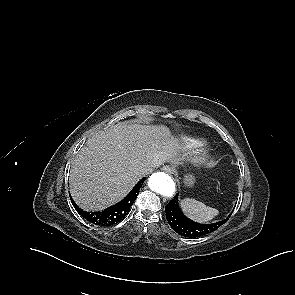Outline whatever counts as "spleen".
Here are the masks:
<instances>
[{
  "instance_id": "spleen-1",
  "label": "spleen",
  "mask_w": 295,
  "mask_h": 295,
  "mask_svg": "<svg viewBox=\"0 0 295 295\" xmlns=\"http://www.w3.org/2000/svg\"><path fill=\"white\" fill-rule=\"evenodd\" d=\"M181 207L189 218L200 223L212 220L219 213L217 209L206 206L204 203L192 198L183 199Z\"/></svg>"
}]
</instances>
